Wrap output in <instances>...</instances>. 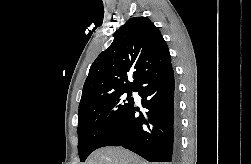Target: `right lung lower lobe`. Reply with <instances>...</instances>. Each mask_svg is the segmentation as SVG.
<instances>
[{"instance_id":"obj_1","label":"right lung lower lobe","mask_w":251,"mask_h":164,"mask_svg":"<svg viewBox=\"0 0 251 164\" xmlns=\"http://www.w3.org/2000/svg\"><path fill=\"white\" fill-rule=\"evenodd\" d=\"M136 92L143 98L144 114L134 105L105 136L98 148L123 146L149 162L177 163L179 121L174 105V73L171 63L146 76Z\"/></svg>"}]
</instances>
